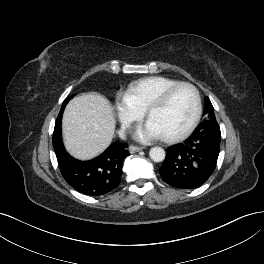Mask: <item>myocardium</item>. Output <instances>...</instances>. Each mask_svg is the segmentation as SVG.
<instances>
[{
  "instance_id": "f54148a6",
  "label": "myocardium",
  "mask_w": 264,
  "mask_h": 264,
  "mask_svg": "<svg viewBox=\"0 0 264 264\" xmlns=\"http://www.w3.org/2000/svg\"><path fill=\"white\" fill-rule=\"evenodd\" d=\"M181 87H188L192 90L194 97H195V104L196 110L193 116L192 121L188 125V127L183 130L182 132L173 135V136H166L162 137V139L167 143H176L179 141L184 140L187 138L197 127L201 115H202V100L199 90L196 88L195 85L189 82H178L166 88L146 109L145 115L147 119H149L150 115L157 109L162 108L164 105L167 104L172 94Z\"/></svg>"
}]
</instances>
